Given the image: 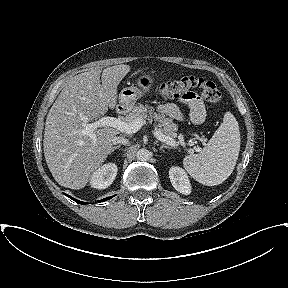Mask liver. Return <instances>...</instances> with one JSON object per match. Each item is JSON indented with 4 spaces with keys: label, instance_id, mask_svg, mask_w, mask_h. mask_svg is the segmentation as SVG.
Instances as JSON below:
<instances>
[{
    "label": "liver",
    "instance_id": "1",
    "mask_svg": "<svg viewBox=\"0 0 288 288\" xmlns=\"http://www.w3.org/2000/svg\"><path fill=\"white\" fill-rule=\"evenodd\" d=\"M121 64L101 70L93 68L72 77L52 105L46 118L44 156L59 185L81 189L112 151V139L119 134L112 127L94 131L96 145L83 135L87 122L104 115L117 105V87L130 71Z\"/></svg>",
    "mask_w": 288,
    "mask_h": 288
}]
</instances>
